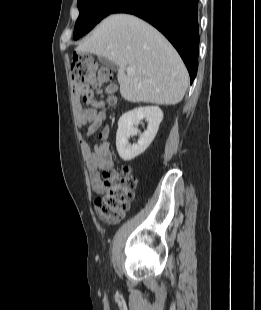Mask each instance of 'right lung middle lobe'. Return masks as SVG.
Masks as SVG:
<instances>
[{"label":"right lung middle lobe","mask_w":261,"mask_h":310,"mask_svg":"<svg viewBox=\"0 0 261 310\" xmlns=\"http://www.w3.org/2000/svg\"><path fill=\"white\" fill-rule=\"evenodd\" d=\"M125 0H78L79 17L75 24L74 39L89 32L103 18L111 14Z\"/></svg>","instance_id":"right-lung-middle-lobe-1"}]
</instances>
